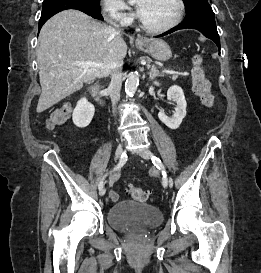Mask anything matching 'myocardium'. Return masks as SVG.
<instances>
[{
    "label": "myocardium",
    "mask_w": 261,
    "mask_h": 273,
    "mask_svg": "<svg viewBox=\"0 0 261 273\" xmlns=\"http://www.w3.org/2000/svg\"><path fill=\"white\" fill-rule=\"evenodd\" d=\"M176 4H177V14L175 16V18L168 24L164 25V26H160V27H152L147 25L140 17L139 13H138V21L139 24L141 26L142 29L150 32V33H164L172 28H174L176 25H178L184 15L185 12V4L183 0H175Z\"/></svg>",
    "instance_id": "f54148a6"
}]
</instances>
